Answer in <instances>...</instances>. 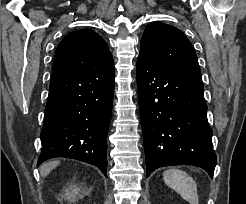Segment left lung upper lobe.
Returning a JSON list of instances; mask_svg holds the SVG:
<instances>
[{"label":"left lung upper lobe","mask_w":246,"mask_h":204,"mask_svg":"<svg viewBox=\"0 0 246 204\" xmlns=\"http://www.w3.org/2000/svg\"><path fill=\"white\" fill-rule=\"evenodd\" d=\"M138 58L160 67L201 76L190 41L179 29L164 23L155 22L146 27Z\"/></svg>","instance_id":"1"}]
</instances>
